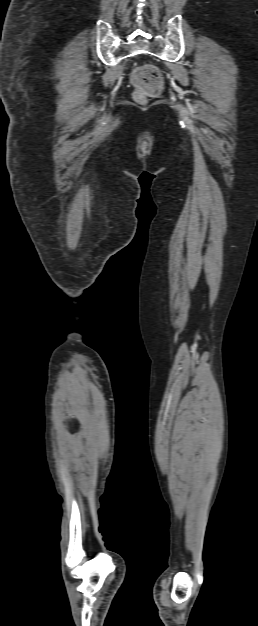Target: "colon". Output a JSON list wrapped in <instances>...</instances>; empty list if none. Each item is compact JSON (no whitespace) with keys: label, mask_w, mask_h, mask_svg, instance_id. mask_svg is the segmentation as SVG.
<instances>
[{"label":"colon","mask_w":258,"mask_h":626,"mask_svg":"<svg viewBox=\"0 0 258 626\" xmlns=\"http://www.w3.org/2000/svg\"><path fill=\"white\" fill-rule=\"evenodd\" d=\"M132 82L136 88L134 98L140 103L159 94L163 87L160 72L151 65L136 68L132 74Z\"/></svg>","instance_id":"obj_1"}]
</instances>
